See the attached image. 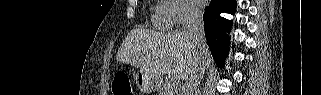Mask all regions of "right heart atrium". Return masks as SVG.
<instances>
[{
	"label": "right heart atrium",
	"instance_id": "1",
	"mask_svg": "<svg viewBox=\"0 0 321 95\" xmlns=\"http://www.w3.org/2000/svg\"><path fill=\"white\" fill-rule=\"evenodd\" d=\"M161 5L174 25H187L200 15L199 9L190 0H163Z\"/></svg>",
	"mask_w": 321,
	"mask_h": 95
}]
</instances>
